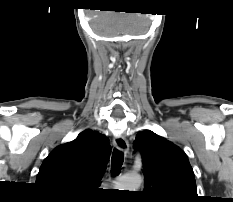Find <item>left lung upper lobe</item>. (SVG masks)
I'll use <instances>...</instances> for the list:
<instances>
[{"label": "left lung upper lobe", "mask_w": 233, "mask_h": 202, "mask_svg": "<svg viewBox=\"0 0 233 202\" xmlns=\"http://www.w3.org/2000/svg\"><path fill=\"white\" fill-rule=\"evenodd\" d=\"M144 169V191L148 202H196L194 172L186 154L163 137L147 130L136 136Z\"/></svg>", "instance_id": "obj_1"}]
</instances>
